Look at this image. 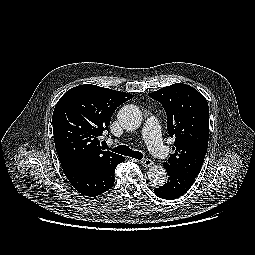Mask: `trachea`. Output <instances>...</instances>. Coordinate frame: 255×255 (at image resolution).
Wrapping results in <instances>:
<instances>
[{"mask_svg": "<svg viewBox=\"0 0 255 255\" xmlns=\"http://www.w3.org/2000/svg\"><path fill=\"white\" fill-rule=\"evenodd\" d=\"M112 151L124 156H129V157L138 159V160H141L143 158V154L141 152L134 151L126 145H120L118 147H115L112 149Z\"/></svg>", "mask_w": 255, "mask_h": 255, "instance_id": "3493384b", "label": "trachea"}]
</instances>
